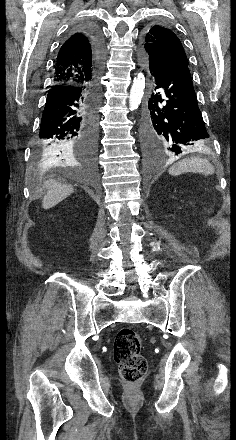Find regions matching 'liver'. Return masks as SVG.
<instances>
[{"label":"liver","mask_w":236,"mask_h":440,"mask_svg":"<svg viewBox=\"0 0 236 440\" xmlns=\"http://www.w3.org/2000/svg\"><path fill=\"white\" fill-rule=\"evenodd\" d=\"M48 191L42 200V207L44 209H50L60 203L74 192V188L71 185L61 184L53 180L46 182Z\"/></svg>","instance_id":"6515ba94"}]
</instances>
